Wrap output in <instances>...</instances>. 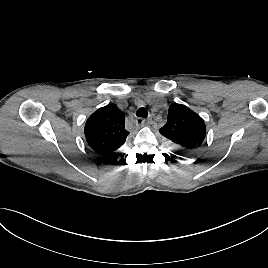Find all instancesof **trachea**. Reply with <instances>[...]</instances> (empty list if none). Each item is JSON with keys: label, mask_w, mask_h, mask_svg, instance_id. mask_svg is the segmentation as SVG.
<instances>
[{"label": "trachea", "mask_w": 268, "mask_h": 268, "mask_svg": "<svg viewBox=\"0 0 268 268\" xmlns=\"http://www.w3.org/2000/svg\"><path fill=\"white\" fill-rule=\"evenodd\" d=\"M138 117L146 118L148 116V111L145 108H139L136 112Z\"/></svg>", "instance_id": "trachea-1"}]
</instances>
